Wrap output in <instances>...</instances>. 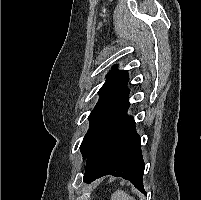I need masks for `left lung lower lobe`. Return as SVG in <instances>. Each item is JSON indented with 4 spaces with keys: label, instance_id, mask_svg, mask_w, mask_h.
<instances>
[{
    "label": "left lung lower lobe",
    "instance_id": "obj_1",
    "mask_svg": "<svg viewBox=\"0 0 201 200\" xmlns=\"http://www.w3.org/2000/svg\"><path fill=\"white\" fill-rule=\"evenodd\" d=\"M129 105L127 96L108 115L90 141L83 156L86 159L84 180L90 183L111 174L129 180L146 194L141 141L134 118L127 116Z\"/></svg>",
    "mask_w": 201,
    "mask_h": 200
}]
</instances>
